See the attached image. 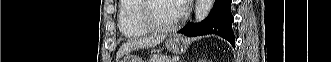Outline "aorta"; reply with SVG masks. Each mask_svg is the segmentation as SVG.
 <instances>
[{
	"instance_id": "aorta-1",
	"label": "aorta",
	"mask_w": 331,
	"mask_h": 62,
	"mask_svg": "<svg viewBox=\"0 0 331 62\" xmlns=\"http://www.w3.org/2000/svg\"><path fill=\"white\" fill-rule=\"evenodd\" d=\"M214 0H197L195 6V21H203L210 13Z\"/></svg>"
}]
</instances>
